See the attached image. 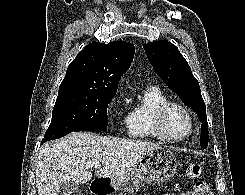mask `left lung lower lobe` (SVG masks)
<instances>
[{"mask_svg":"<svg viewBox=\"0 0 245 195\" xmlns=\"http://www.w3.org/2000/svg\"><path fill=\"white\" fill-rule=\"evenodd\" d=\"M207 146H203V147H201V149H205Z\"/></svg>","mask_w":245,"mask_h":195,"instance_id":"obj_1","label":"left lung lower lobe"}]
</instances>
